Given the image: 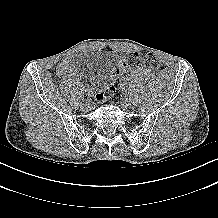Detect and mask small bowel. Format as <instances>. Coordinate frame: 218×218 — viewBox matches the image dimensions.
<instances>
[{"label": "small bowel", "instance_id": "1", "mask_svg": "<svg viewBox=\"0 0 218 218\" xmlns=\"http://www.w3.org/2000/svg\"><path fill=\"white\" fill-rule=\"evenodd\" d=\"M117 56L119 57V65H121L125 57L120 53ZM75 58V55L72 54L65 56L57 65V73L59 75H77L78 70Z\"/></svg>", "mask_w": 218, "mask_h": 218}]
</instances>
